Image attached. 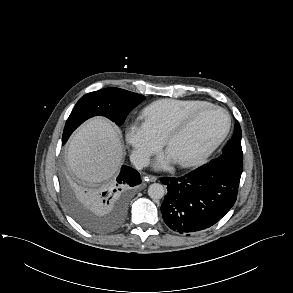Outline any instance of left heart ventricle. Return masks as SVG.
<instances>
[{
    "instance_id": "b2bd125f",
    "label": "left heart ventricle",
    "mask_w": 293,
    "mask_h": 293,
    "mask_svg": "<svg viewBox=\"0 0 293 293\" xmlns=\"http://www.w3.org/2000/svg\"><path fill=\"white\" fill-rule=\"evenodd\" d=\"M226 117L217 110H207L199 115L188 130L169 146V153L175 161L189 159L215 140L225 129Z\"/></svg>"
}]
</instances>
